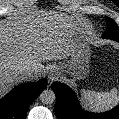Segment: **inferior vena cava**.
I'll return each instance as SVG.
<instances>
[{"label":"inferior vena cava","instance_id":"602c4592","mask_svg":"<svg viewBox=\"0 0 119 119\" xmlns=\"http://www.w3.org/2000/svg\"><path fill=\"white\" fill-rule=\"evenodd\" d=\"M35 73V68L27 67L21 70V76L24 81L30 79Z\"/></svg>","mask_w":119,"mask_h":119}]
</instances>
